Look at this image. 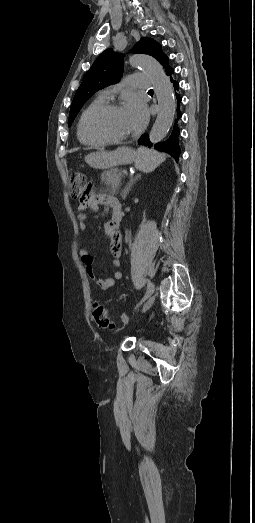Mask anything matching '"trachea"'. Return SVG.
<instances>
[{"mask_svg": "<svg viewBox=\"0 0 255 523\" xmlns=\"http://www.w3.org/2000/svg\"><path fill=\"white\" fill-rule=\"evenodd\" d=\"M148 92H153V89L151 88L150 90H148Z\"/></svg>", "mask_w": 255, "mask_h": 523, "instance_id": "3493384b", "label": "trachea"}]
</instances>
